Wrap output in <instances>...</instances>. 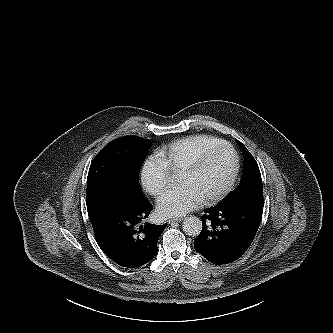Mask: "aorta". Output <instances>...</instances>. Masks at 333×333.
Returning <instances> with one entry per match:
<instances>
[{
    "label": "aorta",
    "mask_w": 333,
    "mask_h": 333,
    "mask_svg": "<svg viewBox=\"0 0 333 333\" xmlns=\"http://www.w3.org/2000/svg\"><path fill=\"white\" fill-rule=\"evenodd\" d=\"M182 227L186 235L196 237L202 231V221L196 216L186 217Z\"/></svg>",
    "instance_id": "aorta-1"
}]
</instances>
